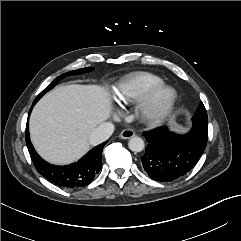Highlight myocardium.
<instances>
[{"instance_id":"f54148a6","label":"myocardium","mask_w":241,"mask_h":241,"mask_svg":"<svg viewBox=\"0 0 241 241\" xmlns=\"http://www.w3.org/2000/svg\"><path fill=\"white\" fill-rule=\"evenodd\" d=\"M165 91L170 93V97L163 106L158 107V99ZM177 100L178 92L173 86L166 83L158 84L151 88L142 99L139 100L138 114L144 122L150 125H159L171 115Z\"/></svg>"}]
</instances>
